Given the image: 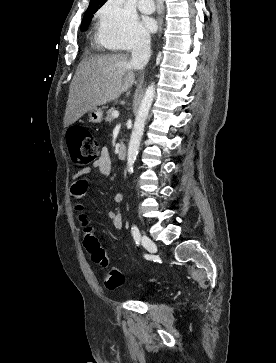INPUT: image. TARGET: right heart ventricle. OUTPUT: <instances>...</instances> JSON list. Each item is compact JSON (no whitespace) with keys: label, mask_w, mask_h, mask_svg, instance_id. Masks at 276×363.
Segmentation results:
<instances>
[{"label":"right heart ventricle","mask_w":276,"mask_h":363,"mask_svg":"<svg viewBox=\"0 0 276 363\" xmlns=\"http://www.w3.org/2000/svg\"><path fill=\"white\" fill-rule=\"evenodd\" d=\"M98 41H99V43H100L102 46H104V47H108V48H112V47H114V46H112V45H109V44L104 43V42L100 39V37H99Z\"/></svg>","instance_id":"e07e8e85"}]
</instances>
